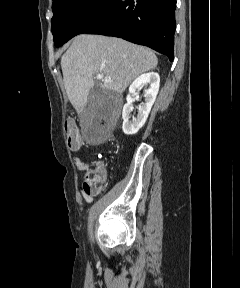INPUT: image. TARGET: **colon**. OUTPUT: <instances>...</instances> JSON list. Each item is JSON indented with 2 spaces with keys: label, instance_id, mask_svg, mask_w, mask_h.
Returning <instances> with one entry per match:
<instances>
[{
  "label": "colon",
  "instance_id": "1",
  "mask_svg": "<svg viewBox=\"0 0 240 288\" xmlns=\"http://www.w3.org/2000/svg\"><path fill=\"white\" fill-rule=\"evenodd\" d=\"M65 132L68 139V146L71 150H77L82 146V138L78 131L74 120L65 122ZM107 178L105 169L101 164H97L96 168L86 173L83 190L86 195H95L102 188L103 183Z\"/></svg>",
  "mask_w": 240,
  "mask_h": 288
}]
</instances>
